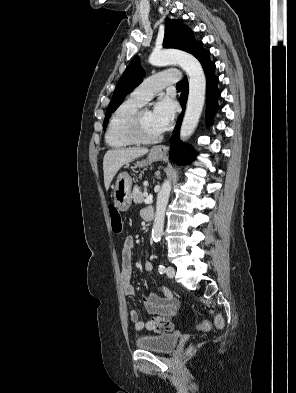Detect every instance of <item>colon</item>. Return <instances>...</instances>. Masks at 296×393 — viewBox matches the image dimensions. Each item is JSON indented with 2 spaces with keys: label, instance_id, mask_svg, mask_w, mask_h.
I'll return each mask as SVG.
<instances>
[{
  "label": "colon",
  "instance_id": "obj_1",
  "mask_svg": "<svg viewBox=\"0 0 296 393\" xmlns=\"http://www.w3.org/2000/svg\"><path fill=\"white\" fill-rule=\"evenodd\" d=\"M109 215L111 221L112 231L116 234H121L123 231V220L121 218L120 213L114 205L109 206ZM224 324V320L221 316H216L215 318V326L217 328H222ZM210 322L207 320H203L198 324V328L202 331H207L210 329Z\"/></svg>",
  "mask_w": 296,
  "mask_h": 393
}]
</instances>
